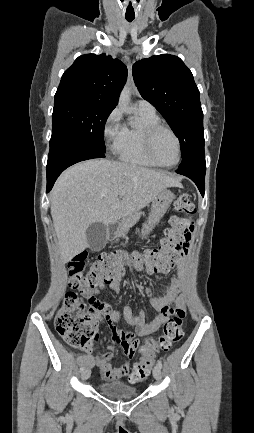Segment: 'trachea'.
<instances>
[{"mask_svg":"<svg viewBox=\"0 0 254 433\" xmlns=\"http://www.w3.org/2000/svg\"><path fill=\"white\" fill-rule=\"evenodd\" d=\"M134 18H126L128 22H132Z\"/></svg>","mask_w":254,"mask_h":433,"instance_id":"trachea-1","label":"trachea"}]
</instances>
